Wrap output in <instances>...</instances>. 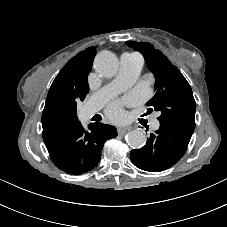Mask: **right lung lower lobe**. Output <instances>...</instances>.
<instances>
[{
    "instance_id": "98d812e1",
    "label": "right lung lower lobe",
    "mask_w": 227,
    "mask_h": 227,
    "mask_svg": "<svg viewBox=\"0 0 227 227\" xmlns=\"http://www.w3.org/2000/svg\"><path fill=\"white\" fill-rule=\"evenodd\" d=\"M86 131L81 123L45 142L57 168L69 174L91 171L100 161L105 140L117 136L114 126L91 123Z\"/></svg>"
}]
</instances>
